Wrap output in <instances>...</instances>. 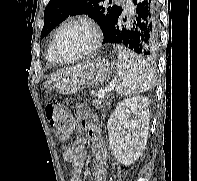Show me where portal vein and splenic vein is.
Wrapping results in <instances>:
<instances>
[{
  "label": "portal vein and splenic vein",
  "mask_w": 197,
  "mask_h": 181,
  "mask_svg": "<svg viewBox=\"0 0 197 181\" xmlns=\"http://www.w3.org/2000/svg\"><path fill=\"white\" fill-rule=\"evenodd\" d=\"M112 90H113V86L112 85H110L106 89H100L99 92H98V98L103 99L105 97V93L106 92H110Z\"/></svg>",
  "instance_id": "1"
}]
</instances>
